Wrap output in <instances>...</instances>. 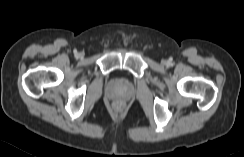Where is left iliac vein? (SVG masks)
Here are the masks:
<instances>
[{
    "label": "left iliac vein",
    "instance_id": "obj_1",
    "mask_svg": "<svg viewBox=\"0 0 244 157\" xmlns=\"http://www.w3.org/2000/svg\"><path fill=\"white\" fill-rule=\"evenodd\" d=\"M162 63H163V64H167L168 62H167L166 60H164Z\"/></svg>",
    "mask_w": 244,
    "mask_h": 157
}]
</instances>
